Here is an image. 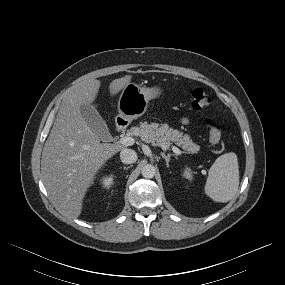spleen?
Instances as JSON below:
<instances>
[{"mask_svg":"<svg viewBox=\"0 0 285 285\" xmlns=\"http://www.w3.org/2000/svg\"><path fill=\"white\" fill-rule=\"evenodd\" d=\"M239 167L233 152L218 157L211 166L205 184V193L215 202H228L237 193Z\"/></svg>","mask_w":285,"mask_h":285,"instance_id":"obj_1","label":"spleen"}]
</instances>
